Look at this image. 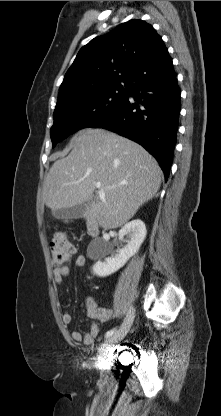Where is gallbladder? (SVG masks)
<instances>
[{
	"label": "gallbladder",
	"mask_w": 221,
	"mask_h": 416,
	"mask_svg": "<svg viewBox=\"0 0 221 416\" xmlns=\"http://www.w3.org/2000/svg\"><path fill=\"white\" fill-rule=\"evenodd\" d=\"M90 201L77 204L72 207L60 208L52 211V215L56 219H77L83 217V214L88 206Z\"/></svg>",
	"instance_id": "bac80fb5"
}]
</instances>
